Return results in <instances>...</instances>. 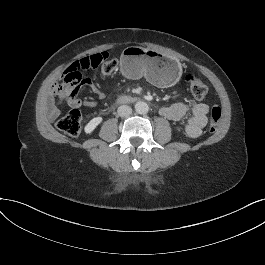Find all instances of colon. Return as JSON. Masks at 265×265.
<instances>
[{
    "label": "colon",
    "instance_id": "colon-1",
    "mask_svg": "<svg viewBox=\"0 0 265 265\" xmlns=\"http://www.w3.org/2000/svg\"><path fill=\"white\" fill-rule=\"evenodd\" d=\"M98 66L101 67V73L103 76H110L115 72L117 62L114 59H110L106 52H100L84 57L73 63L64 71L61 85L66 88H74L78 86L82 82L81 71ZM186 80L189 83L192 95L196 99H203L207 95L208 86L202 79L193 74H188ZM81 121V112L74 108L57 121V127L69 136L76 137L81 132ZM220 121L221 109L219 106H213L209 125V131L211 133H214L218 129Z\"/></svg>",
    "mask_w": 265,
    "mask_h": 265
}]
</instances>
